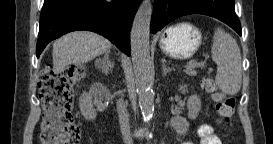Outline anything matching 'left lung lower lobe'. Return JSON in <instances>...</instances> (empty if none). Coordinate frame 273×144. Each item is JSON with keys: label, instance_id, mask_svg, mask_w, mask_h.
<instances>
[{"label": "left lung lower lobe", "instance_id": "obj_1", "mask_svg": "<svg viewBox=\"0 0 273 144\" xmlns=\"http://www.w3.org/2000/svg\"><path fill=\"white\" fill-rule=\"evenodd\" d=\"M234 6V0H154L151 32L155 34L180 16L204 14L223 21L241 35Z\"/></svg>", "mask_w": 273, "mask_h": 144}]
</instances>
